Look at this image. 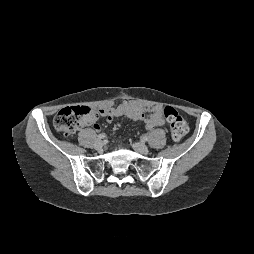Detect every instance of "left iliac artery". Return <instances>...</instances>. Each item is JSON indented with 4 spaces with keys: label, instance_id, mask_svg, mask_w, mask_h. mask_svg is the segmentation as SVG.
<instances>
[{
    "label": "left iliac artery",
    "instance_id": "obj_1",
    "mask_svg": "<svg viewBox=\"0 0 254 254\" xmlns=\"http://www.w3.org/2000/svg\"><path fill=\"white\" fill-rule=\"evenodd\" d=\"M142 141H147L148 140V137L147 136H142Z\"/></svg>",
    "mask_w": 254,
    "mask_h": 254
}]
</instances>
